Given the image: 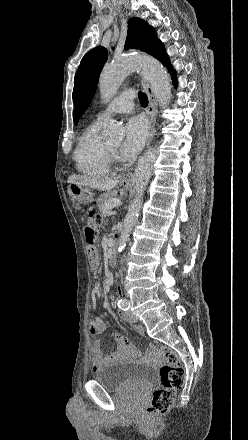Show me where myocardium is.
Masks as SVG:
<instances>
[{
    "label": "myocardium",
    "instance_id": "f54148a6",
    "mask_svg": "<svg viewBox=\"0 0 248 440\" xmlns=\"http://www.w3.org/2000/svg\"><path fill=\"white\" fill-rule=\"evenodd\" d=\"M108 155H109V160H110V164L111 165H119V163L121 162L117 151L111 149L110 147H108Z\"/></svg>",
    "mask_w": 248,
    "mask_h": 440
}]
</instances>
